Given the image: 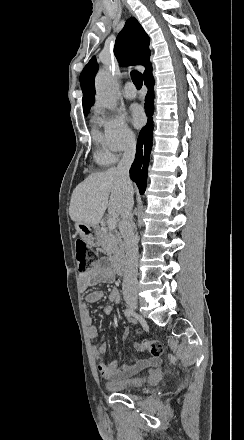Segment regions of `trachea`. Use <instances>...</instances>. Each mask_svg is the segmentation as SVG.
I'll use <instances>...</instances> for the list:
<instances>
[{
  "label": "trachea",
  "mask_w": 244,
  "mask_h": 440,
  "mask_svg": "<svg viewBox=\"0 0 244 440\" xmlns=\"http://www.w3.org/2000/svg\"><path fill=\"white\" fill-rule=\"evenodd\" d=\"M131 78H132V82L134 83L136 88L138 90H140V88L142 87V84H143V77H142L141 73L137 72V70H132L131 71Z\"/></svg>",
  "instance_id": "trachea-1"
}]
</instances>
